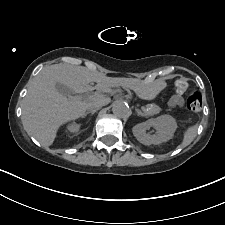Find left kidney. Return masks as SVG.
I'll return each mask as SVG.
<instances>
[{"label": "left kidney", "mask_w": 225, "mask_h": 225, "mask_svg": "<svg viewBox=\"0 0 225 225\" xmlns=\"http://www.w3.org/2000/svg\"><path fill=\"white\" fill-rule=\"evenodd\" d=\"M153 127L157 130V134L150 135L146 130ZM177 128L175 119L170 115H162L157 118L149 119L145 122L135 125L132 129L136 139L144 145H158L166 142L173 137V133Z\"/></svg>", "instance_id": "obj_1"}]
</instances>
